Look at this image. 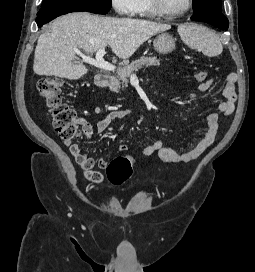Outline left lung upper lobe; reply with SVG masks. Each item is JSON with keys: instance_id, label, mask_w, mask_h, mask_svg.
I'll list each match as a JSON object with an SVG mask.
<instances>
[{"instance_id": "obj_1", "label": "left lung upper lobe", "mask_w": 255, "mask_h": 272, "mask_svg": "<svg viewBox=\"0 0 255 272\" xmlns=\"http://www.w3.org/2000/svg\"><path fill=\"white\" fill-rule=\"evenodd\" d=\"M194 2V12L206 9L217 8L221 10L222 0H192Z\"/></svg>"}]
</instances>
